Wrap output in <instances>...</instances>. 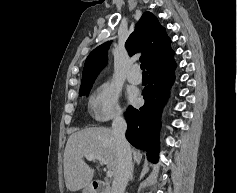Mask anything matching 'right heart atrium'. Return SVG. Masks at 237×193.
Listing matches in <instances>:
<instances>
[{
	"instance_id": "d8ad5b80",
	"label": "right heart atrium",
	"mask_w": 237,
	"mask_h": 193,
	"mask_svg": "<svg viewBox=\"0 0 237 193\" xmlns=\"http://www.w3.org/2000/svg\"><path fill=\"white\" fill-rule=\"evenodd\" d=\"M89 107L96 120L107 121L123 114L119 104V91L109 83L100 85L89 100Z\"/></svg>"
}]
</instances>
